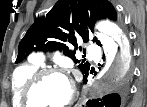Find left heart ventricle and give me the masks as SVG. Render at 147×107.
Here are the masks:
<instances>
[{
    "mask_svg": "<svg viewBox=\"0 0 147 107\" xmlns=\"http://www.w3.org/2000/svg\"><path fill=\"white\" fill-rule=\"evenodd\" d=\"M70 93V83L66 79L51 76L34 89L31 101L35 107H58L67 101Z\"/></svg>",
    "mask_w": 147,
    "mask_h": 107,
    "instance_id": "1",
    "label": "left heart ventricle"
}]
</instances>
